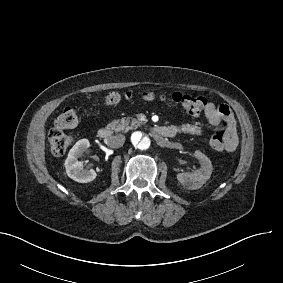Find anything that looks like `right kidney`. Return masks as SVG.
<instances>
[{"label": "right kidney", "mask_w": 283, "mask_h": 283, "mask_svg": "<svg viewBox=\"0 0 283 283\" xmlns=\"http://www.w3.org/2000/svg\"><path fill=\"white\" fill-rule=\"evenodd\" d=\"M90 147L88 139L77 141L70 149L68 157L65 161L66 173L73 180L80 183H87L95 179L96 172L91 168H85L82 162L78 161V157Z\"/></svg>", "instance_id": "1"}]
</instances>
